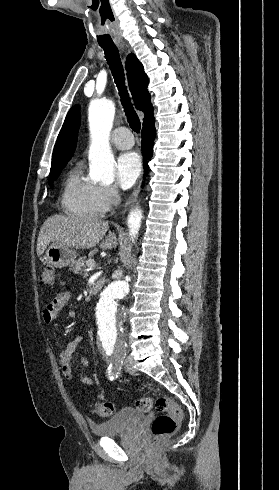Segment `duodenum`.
I'll use <instances>...</instances> for the list:
<instances>
[{
    "mask_svg": "<svg viewBox=\"0 0 279 490\" xmlns=\"http://www.w3.org/2000/svg\"><path fill=\"white\" fill-rule=\"evenodd\" d=\"M104 284V281L102 279H99V280H96L92 285H91V288H90V293L91 294H96L98 293L102 286Z\"/></svg>",
    "mask_w": 279,
    "mask_h": 490,
    "instance_id": "410a0bca",
    "label": "duodenum"
}]
</instances>
